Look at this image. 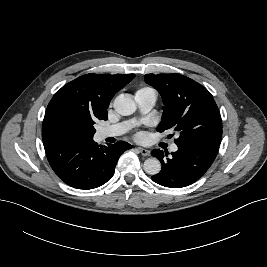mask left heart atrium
Instances as JSON below:
<instances>
[{
  "label": "left heart atrium",
  "mask_w": 267,
  "mask_h": 267,
  "mask_svg": "<svg viewBox=\"0 0 267 267\" xmlns=\"http://www.w3.org/2000/svg\"><path fill=\"white\" fill-rule=\"evenodd\" d=\"M135 137H136V139L141 140V139H143L145 137V134L143 132H137L135 134Z\"/></svg>",
  "instance_id": "39dd6f15"
}]
</instances>
